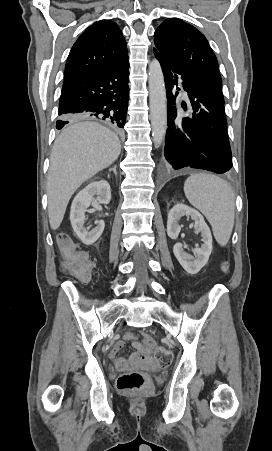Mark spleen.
I'll return each mask as SVG.
<instances>
[{
	"instance_id": "1",
	"label": "spleen",
	"mask_w": 272,
	"mask_h": 451,
	"mask_svg": "<svg viewBox=\"0 0 272 451\" xmlns=\"http://www.w3.org/2000/svg\"><path fill=\"white\" fill-rule=\"evenodd\" d=\"M184 192L190 204L200 210L211 224L216 241L226 245L235 218L234 194L230 184L212 174H190L184 184Z\"/></svg>"
}]
</instances>
